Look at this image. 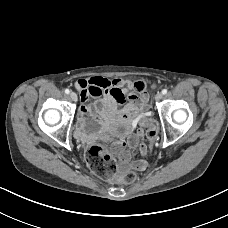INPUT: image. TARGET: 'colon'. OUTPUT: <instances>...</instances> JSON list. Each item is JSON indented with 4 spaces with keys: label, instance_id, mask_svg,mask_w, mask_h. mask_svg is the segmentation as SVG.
Wrapping results in <instances>:
<instances>
[{
    "label": "colon",
    "instance_id": "colon-1",
    "mask_svg": "<svg viewBox=\"0 0 228 228\" xmlns=\"http://www.w3.org/2000/svg\"><path fill=\"white\" fill-rule=\"evenodd\" d=\"M146 87V84L142 81L135 83V88L140 93H144ZM142 124L147 128L149 141L153 142L158 134L156 122L150 118H145ZM86 160L90 170L104 180L131 184L137 179V175L133 171H127L124 174L118 173L115 156L110 148L106 146L92 145L89 147Z\"/></svg>",
    "mask_w": 228,
    "mask_h": 228
}]
</instances>
